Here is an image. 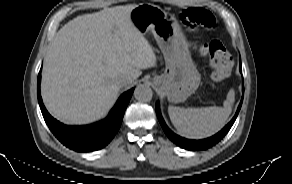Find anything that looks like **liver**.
I'll use <instances>...</instances> for the list:
<instances>
[{
  "instance_id": "liver-1",
  "label": "liver",
  "mask_w": 292,
  "mask_h": 184,
  "mask_svg": "<svg viewBox=\"0 0 292 184\" xmlns=\"http://www.w3.org/2000/svg\"><path fill=\"white\" fill-rule=\"evenodd\" d=\"M136 6H117L76 17L56 34L46 55L41 95L49 113L65 124H88L107 114L126 77L156 65V55L133 25Z\"/></svg>"
}]
</instances>
